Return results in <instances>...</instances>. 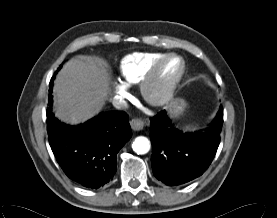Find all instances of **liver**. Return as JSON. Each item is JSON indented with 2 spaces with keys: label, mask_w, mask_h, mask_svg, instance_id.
<instances>
[{
  "label": "liver",
  "mask_w": 277,
  "mask_h": 218,
  "mask_svg": "<svg viewBox=\"0 0 277 218\" xmlns=\"http://www.w3.org/2000/svg\"><path fill=\"white\" fill-rule=\"evenodd\" d=\"M107 90L106 65L101 59L73 58L54 83L55 115L69 124L84 122L101 110Z\"/></svg>",
  "instance_id": "obj_1"
}]
</instances>
